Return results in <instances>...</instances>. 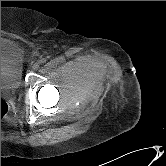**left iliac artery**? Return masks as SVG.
<instances>
[{"instance_id": "obj_1", "label": "left iliac artery", "mask_w": 166, "mask_h": 166, "mask_svg": "<svg viewBox=\"0 0 166 166\" xmlns=\"http://www.w3.org/2000/svg\"><path fill=\"white\" fill-rule=\"evenodd\" d=\"M45 62H46V59L44 58L40 60V63H45Z\"/></svg>"}]
</instances>
